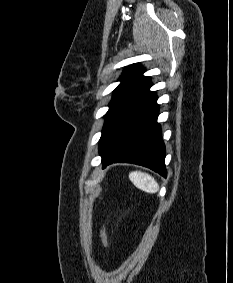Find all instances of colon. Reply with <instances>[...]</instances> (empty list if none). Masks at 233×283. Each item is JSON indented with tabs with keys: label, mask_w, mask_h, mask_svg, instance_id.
<instances>
[{
	"label": "colon",
	"mask_w": 233,
	"mask_h": 283,
	"mask_svg": "<svg viewBox=\"0 0 233 283\" xmlns=\"http://www.w3.org/2000/svg\"><path fill=\"white\" fill-rule=\"evenodd\" d=\"M100 235H101V240H102L104 247L109 248L108 235H107V232H106V229H105L104 226H102V228H101Z\"/></svg>",
	"instance_id": "1"
}]
</instances>
